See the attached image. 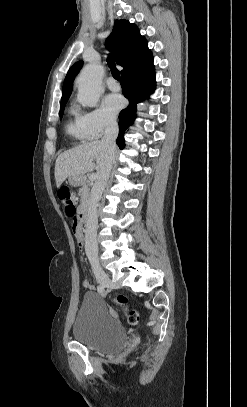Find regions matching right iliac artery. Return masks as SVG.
<instances>
[{
  "label": "right iliac artery",
  "mask_w": 247,
  "mask_h": 407,
  "mask_svg": "<svg viewBox=\"0 0 247 407\" xmlns=\"http://www.w3.org/2000/svg\"><path fill=\"white\" fill-rule=\"evenodd\" d=\"M97 291L101 294H103L105 292V287L103 285H99L97 286Z\"/></svg>",
  "instance_id": "right-iliac-artery-1"
}]
</instances>
